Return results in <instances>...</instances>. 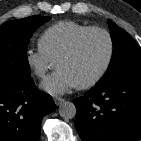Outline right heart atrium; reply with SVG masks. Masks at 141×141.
<instances>
[{"label":"right heart atrium","instance_id":"d8ad5b80","mask_svg":"<svg viewBox=\"0 0 141 141\" xmlns=\"http://www.w3.org/2000/svg\"><path fill=\"white\" fill-rule=\"evenodd\" d=\"M25 62L29 71L38 78L45 76L53 66L54 59L40 46L29 47L25 52Z\"/></svg>","mask_w":141,"mask_h":141}]
</instances>
